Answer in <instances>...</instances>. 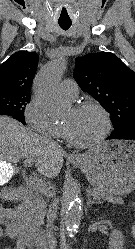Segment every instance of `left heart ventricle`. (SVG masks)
<instances>
[{
	"instance_id": "b2bd125f",
	"label": "left heart ventricle",
	"mask_w": 135,
	"mask_h": 249,
	"mask_svg": "<svg viewBox=\"0 0 135 249\" xmlns=\"http://www.w3.org/2000/svg\"><path fill=\"white\" fill-rule=\"evenodd\" d=\"M63 125L71 136L78 141H90L102 134L105 128L102 114L93 108L75 111L72 109L66 116Z\"/></svg>"
}]
</instances>
